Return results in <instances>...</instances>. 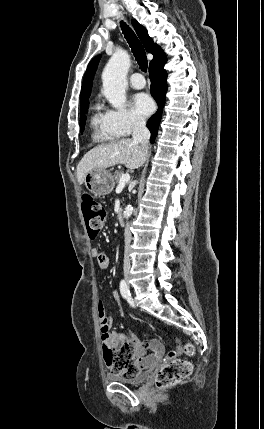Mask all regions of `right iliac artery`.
<instances>
[{
    "label": "right iliac artery",
    "mask_w": 264,
    "mask_h": 429,
    "mask_svg": "<svg viewBox=\"0 0 264 429\" xmlns=\"http://www.w3.org/2000/svg\"><path fill=\"white\" fill-rule=\"evenodd\" d=\"M120 293L123 298L128 299L130 297V292L125 280L120 282Z\"/></svg>",
    "instance_id": "obj_1"
}]
</instances>
